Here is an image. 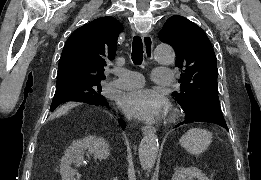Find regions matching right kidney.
Segmentation results:
<instances>
[{"label":"right kidney","instance_id":"right-kidney-1","mask_svg":"<svg viewBox=\"0 0 261 180\" xmlns=\"http://www.w3.org/2000/svg\"><path fill=\"white\" fill-rule=\"evenodd\" d=\"M84 150H88V154H92L98 160H105L109 156L108 144L104 138H96V136H88L83 140H76L72 142L69 150L63 156L60 164V174L62 180H71L73 170L70 168L74 162H82L84 160L82 154Z\"/></svg>","mask_w":261,"mask_h":180}]
</instances>
